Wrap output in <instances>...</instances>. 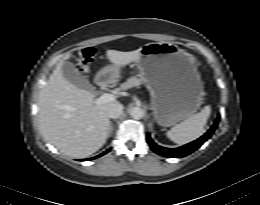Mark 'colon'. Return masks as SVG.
Masks as SVG:
<instances>
[{
	"label": "colon",
	"mask_w": 260,
	"mask_h": 205,
	"mask_svg": "<svg viewBox=\"0 0 260 205\" xmlns=\"http://www.w3.org/2000/svg\"><path fill=\"white\" fill-rule=\"evenodd\" d=\"M95 55H96V50L94 47H87L81 50L77 55L79 67L82 70H85L93 61Z\"/></svg>",
	"instance_id": "obj_1"
}]
</instances>
